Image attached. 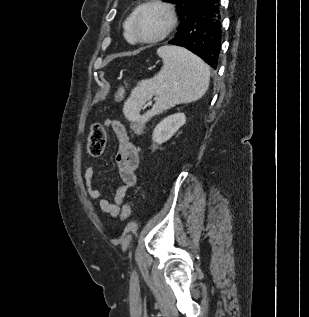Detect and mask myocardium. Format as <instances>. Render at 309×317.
<instances>
[{"label":"myocardium","mask_w":309,"mask_h":317,"mask_svg":"<svg viewBox=\"0 0 309 317\" xmlns=\"http://www.w3.org/2000/svg\"><path fill=\"white\" fill-rule=\"evenodd\" d=\"M151 7H156L164 11V13L167 16V25L165 29L158 36L153 38H144L140 35L138 31L137 23L142 12ZM176 24H177V16L171 4L162 0H149L141 4L136 9L132 18V33L135 40L141 43H147V44L157 43L164 40L166 37H168L169 34L174 30Z\"/></svg>","instance_id":"f54148a6"}]
</instances>
